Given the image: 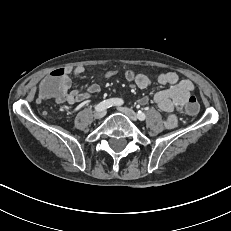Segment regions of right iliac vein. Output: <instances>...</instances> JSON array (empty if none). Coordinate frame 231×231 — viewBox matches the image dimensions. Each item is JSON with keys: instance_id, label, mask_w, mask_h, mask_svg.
<instances>
[{"instance_id": "63e3f726", "label": "right iliac vein", "mask_w": 231, "mask_h": 231, "mask_svg": "<svg viewBox=\"0 0 231 231\" xmlns=\"http://www.w3.org/2000/svg\"><path fill=\"white\" fill-rule=\"evenodd\" d=\"M104 115H105V111L104 110L97 111V112L94 113V118L95 119H101V118L104 117Z\"/></svg>"}]
</instances>
